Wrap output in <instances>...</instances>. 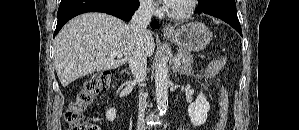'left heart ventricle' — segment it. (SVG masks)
<instances>
[{"instance_id":"obj_1","label":"left heart ventricle","mask_w":299,"mask_h":130,"mask_svg":"<svg viewBox=\"0 0 299 130\" xmlns=\"http://www.w3.org/2000/svg\"><path fill=\"white\" fill-rule=\"evenodd\" d=\"M185 1H178L175 6L176 7H182L184 5Z\"/></svg>"}]
</instances>
